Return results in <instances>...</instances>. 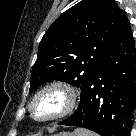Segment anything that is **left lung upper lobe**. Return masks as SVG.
Wrapping results in <instances>:
<instances>
[{
    "label": "left lung upper lobe",
    "instance_id": "left-lung-upper-lobe-1",
    "mask_svg": "<svg viewBox=\"0 0 136 136\" xmlns=\"http://www.w3.org/2000/svg\"><path fill=\"white\" fill-rule=\"evenodd\" d=\"M125 19L113 0H82L65 11L39 44L29 91L54 79L82 90Z\"/></svg>",
    "mask_w": 136,
    "mask_h": 136
}]
</instances>
